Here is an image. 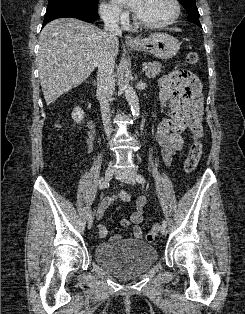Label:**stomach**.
Masks as SVG:
<instances>
[{
  "mask_svg": "<svg viewBox=\"0 0 245 314\" xmlns=\"http://www.w3.org/2000/svg\"><path fill=\"white\" fill-rule=\"evenodd\" d=\"M130 47L136 51L149 52L155 57L165 60L174 57L180 48L176 38L167 33H152L149 37L140 39Z\"/></svg>",
  "mask_w": 245,
  "mask_h": 314,
  "instance_id": "0dacf381",
  "label": "stomach"
}]
</instances>
